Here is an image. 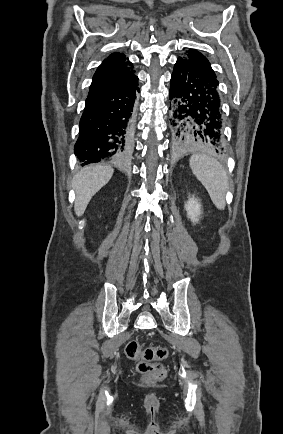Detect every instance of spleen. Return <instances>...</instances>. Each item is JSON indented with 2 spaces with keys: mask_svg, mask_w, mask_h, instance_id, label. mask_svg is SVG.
Wrapping results in <instances>:
<instances>
[{
  "mask_svg": "<svg viewBox=\"0 0 283 434\" xmlns=\"http://www.w3.org/2000/svg\"><path fill=\"white\" fill-rule=\"evenodd\" d=\"M190 167L196 178L208 191L214 205L225 208V192L228 189V177L225 169L214 158L195 154L190 157Z\"/></svg>",
  "mask_w": 283,
  "mask_h": 434,
  "instance_id": "1",
  "label": "spleen"
}]
</instances>
